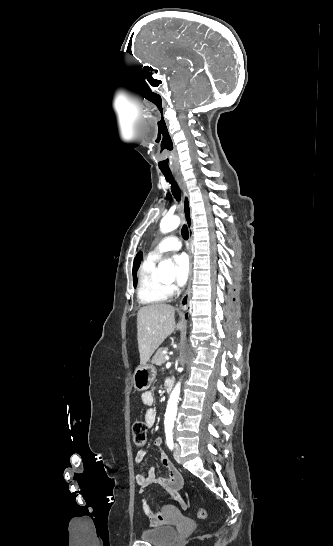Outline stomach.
I'll return each mask as SVG.
<instances>
[{"instance_id": "stomach-1", "label": "stomach", "mask_w": 333, "mask_h": 546, "mask_svg": "<svg viewBox=\"0 0 333 546\" xmlns=\"http://www.w3.org/2000/svg\"><path fill=\"white\" fill-rule=\"evenodd\" d=\"M156 376V368L153 364L139 365L133 374V384L139 391L148 390Z\"/></svg>"}]
</instances>
